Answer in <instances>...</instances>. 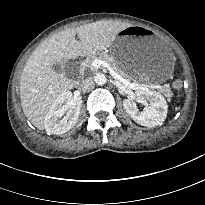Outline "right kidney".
I'll list each match as a JSON object with an SVG mask.
<instances>
[{
    "label": "right kidney",
    "mask_w": 205,
    "mask_h": 205,
    "mask_svg": "<svg viewBox=\"0 0 205 205\" xmlns=\"http://www.w3.org/2000/svg\"><path fill=\"white\" fill-rule=\"evenodd\" d=\"M72 99V93L65 91L53 102L45 118L47 133L63 134L76 125L80 106L73 105ZM64 114L66 115L62 118Z\"/></svg>",
    "instance_id": "right-kidney-1"
}]
</instances>
